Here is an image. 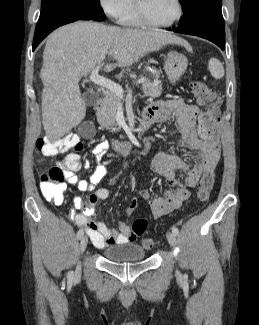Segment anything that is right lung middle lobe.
<instances>
[{"instance_id": "1", "label": "right lung middle lobe", "mask_w": 259, "mask_h": 325, "mask_svg": "<svg viewBox=\"0 0 259 325\" xmlns=\"http://www.w3.org/2000/svg\"><path fill=\"white\" fill-rule=\"evenodd\" d=\"M72 14L82 19L105 20L99 0H41V14L36 30L50 19Z\"/></svg>"}]
</instances>
